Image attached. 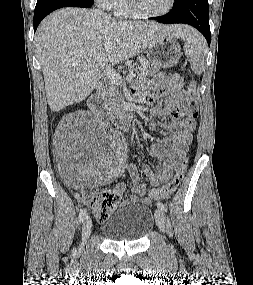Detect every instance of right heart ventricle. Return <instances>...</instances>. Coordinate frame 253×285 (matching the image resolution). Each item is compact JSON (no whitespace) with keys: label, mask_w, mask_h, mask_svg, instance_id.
Here are the masks:
<instances>
[{"label":"right heart ventricle","mask_w":253,"mask_h":285,"mask_svg":"<svg viewBox=\"0 0 253 285\" xmlns=\"http://www.w3.org/2000/svg\"><path fill=\"white\" fill-rule=\"evenodd\" d=\"M114 13L116 16L122 18L133 16L128 7L127 0H119L116 7L114 8Z\"/></svg>","instance_id":"obj_1"}]
</instances>
